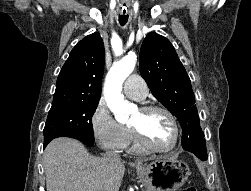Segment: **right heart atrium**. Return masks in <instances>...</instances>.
Masks as SVG:
<instances>
[{
    "label": "right heart atrium",
    "mask_w": 251,
    "mask_h": 191,
    "mask_svg": "<svg viewBox=\"0 0 251 191\" xmlns=\"http://www.w3.org/2000/svg\"><path fill=\"white\" fill-rule=\"evenodd\" d=\"M89 124L93 139L104 150L122 149L129 141L131 129L120 124L101 102L94 108Z\"/></svg>",
    "instance_id": "1"
}]
</instances>
